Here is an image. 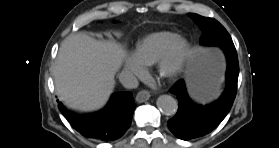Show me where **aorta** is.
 I'll return each instance as SVG.
<instances>
[{
  "label": "aorta",
  "instance_id": "1",
  "mask_svg": "<svg viewBox=\"0 0 279 148\" xmlns=\"http://www.w3.org/2000/svg\"><path fill=\"white\" fill-rule=\"evenodd\" d=\"M157 106L167 116L174 115L178 109L177 100L170 95H161L157 99Z\"/></svg>",
  "mask_w": 279,
  "mask_h": 148
}]
</instances>
